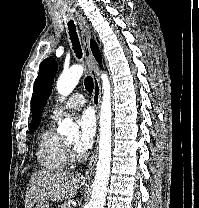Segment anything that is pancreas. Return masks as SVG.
Here are the masks:
<instances>
[{
    "label": "pancreas",
    "instance_id": "pancreas-1",
    "mask_svg": "<svg viewBox=\"0 0 199 208\" xmlns=\"http://www.w3.org/2000/svg\"><path fill=\"white\" fill-rule=\"evenodd\" d=\"M58 208H71L70 202H64L62 205H59Z\"/></svg>",
    "mask_w": 199,
    "mask_h": 208
}]
</instances>
